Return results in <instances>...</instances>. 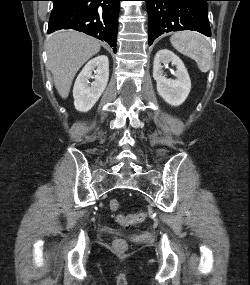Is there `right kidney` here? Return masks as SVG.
Returning a JSON list of instances; mask_svg holds the SVG:
<instances>
[{"label":"right kidney","mask_w":250,"mask_h":285,"mask_svg":"<svg viewBox=\"0 0 250 285\" xmlns=\"http://www.w3.org/2000/svg\"><path fill=\"white\" fill-rule=\"evenodd\" d=\"M94 72V75L92 74ZM93 79L91 86L89 80ZM109 79V61L106 55L90 60L78 75L73 97L76 110L89 111L104 92Z\"/></svg>","instance_id":"right-kidney-1"}]
</instances>
